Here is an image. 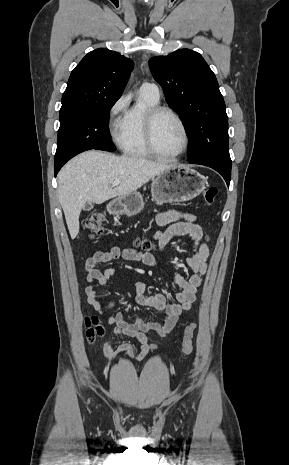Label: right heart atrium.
<instances>
[{
  "mask_svg": "<svg viewBox=\"0 0 289 465\" xmlns=\"http://www.w3.org/2000/svg\"><path fill=\"white\" fill-rule=\"evenodd\" d=\"M128 105V97L121 96L111 107L109 112V129L113 136L118 137L122 128V119L120 114L126 109Z\"/></svg>",
  "mask_w": 289,
  "mask_h": 465,
  "instance_id": "1",
  "label": "right heart atrium"
}]
</instances>
